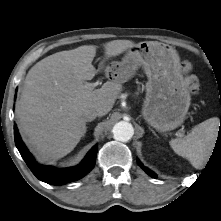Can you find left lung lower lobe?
<instances>
[{
  "instance_id": "obj_1",
  "label": "left lung lower lobe",
  "mask_w": 221,
  "mask_h": 221,
  "mask_svg": "<svg viewBox=\"0 0 221 221\" xmlns=\"http://www.w3.org/2000/svg\"><path fill=\"white\" fill-rule=\"evenodd\" d=\"M218 142L221 144V138L219 139ZM139 165H140V166L145 170V172H146L147 174H149L151 177L157 178V175H156L154 172H152V171L149 170L148 168L144 167L140 162H139Z\"/></svg>"
}]
</instances>
